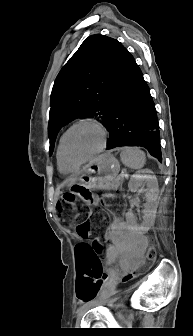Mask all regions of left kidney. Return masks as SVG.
<instances>
[{"instance_id":"1","label":"left kidney","mask_w":193,"mask_h":336,"mask_svg":"<svg viewBox=\"0 0 193 336\" xmlns=\"http://www.w3.org/2000/svg\"><path fill=\"white\" fill-rule=\"evenodd\" d=\"M151 170H142L133 174L128 183V188L131 192L145 193L146 201L145 209L143 210V222L139 225L136 222L135 216L132 212L126 213L127 222L135 229L140 231H147L153 224L156 210H157V196H158V181L155 175L151 174ZM147 186L145 189L144 187Z\"/></svg>"}]
</instances>
